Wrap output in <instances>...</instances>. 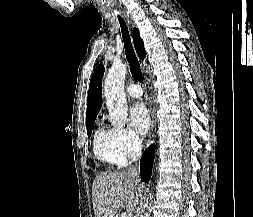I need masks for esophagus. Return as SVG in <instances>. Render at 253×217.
I'll use <instances>...</instances> for the list:
<instances>
[{"mask_svg": "<svg viewBox=\"0 0 253 217\" xmlns=\"http://www.w3.org/2000/svg\"><path fill=\"white\" fill-rule=\"evenodd\" d=\"M124 15L126 19L128 20V23L131 24V20L129 19V16L124 12ZM145 79L147 80V77L145 75ZM149 112H150V117H151V131L149 135V141L154 138L155 135V128H156V117H155V112H154V107L152 105L151 100L149 99Z\"/></svg>", "mask_w": 253, "mask_h": 217, "instance_id": "esophagus-1", "label": "esophagus"}]
</instances>
